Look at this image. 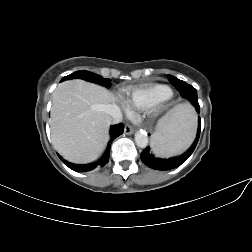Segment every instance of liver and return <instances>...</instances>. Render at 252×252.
<instances>
[{"instance_id": "obj_1", "label": "liver", "mask_w": 252, "mask_h": 252, "mask_svg": "<svg viewBox=\"0 0 252 252\" xmlns=\"http://www.w3.org/2000/svg\"><path fill=\"white\" fill-rule=\"evenodd\" d=\"M114 102L111 92L93 83L75 79L59 84L53 92L50 129L60 155L76 164L98 159L112 121L106 106Z\"/></svg>"}]
</instances>
